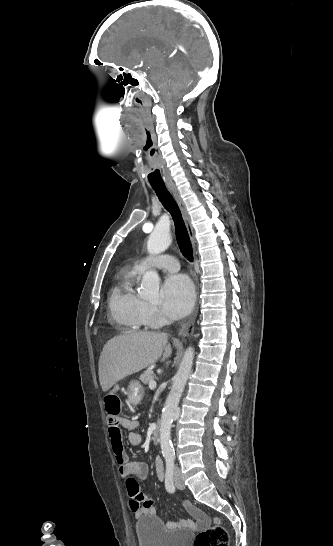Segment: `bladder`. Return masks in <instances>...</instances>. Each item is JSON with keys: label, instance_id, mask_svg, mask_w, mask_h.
Returning a JSON list of instances; mask_svg holds the SVG:
<instances>
[{"label": "bladder", "instance_id": "1", "mask_svg": "<svg viewBox=\"0 0 333 546\" xmlns=\"http://www.w3.org/2000/svg\"><path fill=\"white\" fill-rule=\"evenodd\" d=\"M140 546H191L193 533L189 530H168L153 515L144 514L135 524Z\"/></svg>", "mask_w": 333, "mask_h": 546}]
</instances>
